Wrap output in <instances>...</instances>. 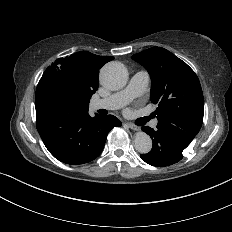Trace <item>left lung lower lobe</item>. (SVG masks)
<instances>
[{"label":"left lung lower lobe","mask_w":232,"mask_h":232,"mask_svg":"<svg viewBox=\"0 0 232 232\" xmlns=\"http://www.w3.org/2000/svg\"><path fill=\"white\" fill-rule=\"evenodd\" d=\"M152 138V150L140 157L148 164L156 167L169 166L183 158L184 149L190 144L185 139L157 126L154 130L148 126L141 128Z\"/></svg>","instance_id":"obj_1"}]
</instances>
